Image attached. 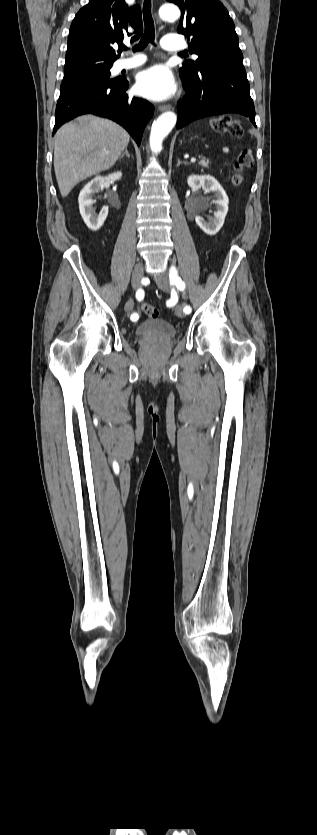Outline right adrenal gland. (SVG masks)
<instances>
[{
  "mask_svg": "<svg viewBox=\"0 0 317 835\" xmlns=\"http://www.w3.org/2000/svg\"><path fill=\"white\" fill-rule=\"evenodd\" d=\"M125 155H126L128 158L130 157V154L128 153V149H127V148H126V149H125V151L122 153V155L120 156L119 160H121V159H122Z\"/></svg>",
  "mask_w": 317,
  "mask_h": 835,
  "instance_id": "2a0ac1e0",
  "label": "right adrenal gland"
}]
</instances>
